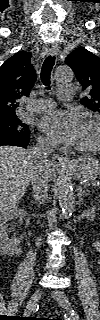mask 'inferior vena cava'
I'll return each instance as SVG.
<instances>
[{"label": "inferior vena cava", "mask_w": 100, "mask_h": 320, "mask_svg": "<svg viewBox=\"0 0 100 320\" xmlns=\"http://www.w3.org/2000/svg\"><path fill=\"white\" fill-rule=\"evenodd\" d=\"M35 159L34 172L31 177L33 194L38 204H43L47 199L48 191V166L49 156L52 153L51 143L47 139H38L35 147L30 149ZM41 238L37 239L36 245H41Z\"/></svg>", "instance_id": "inferior-vena-cava-1"}]
</instances>
